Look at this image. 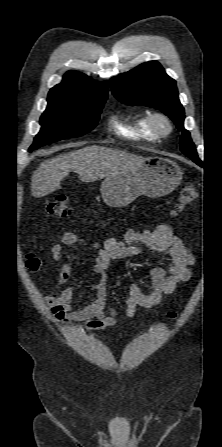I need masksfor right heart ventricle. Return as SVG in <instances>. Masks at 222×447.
<instances>
[{
	"instance_id": "1",
	"label": "right heart ventricle",
	"mask_w": 222,
	"mask_h": 447,
	"mask_svg": "<svg viewBox=\"0 0 222 447\" xmlns=\"http://www.w3.org/2000/svg\"><path fill=\"white\" fill-rule=\"evenodd\" d=\"M110 123L115 133L123 138L146 141L157 139L148 126L146 114L131 113L123 117L115 115Z\"/></svg>"
}]
</instances>
